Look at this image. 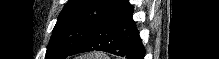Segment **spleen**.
<instances>
[{"label": "spleen", "mask_w": 219, "mask_h": 59, "mask_svg": "<svg viewBox=\"0 0 219 59\" xmlns=\"http://www.w3.org/2000/svg\"><path fill=\"white\" fill-rule=\"evenodd\" d=\"M105 59L106 57H104L102 54H100V53H96L94 56L92 55V56H90L89 58H87V59Z\"/></svg>", "instance_id": "obj_1"}]
</instances>
